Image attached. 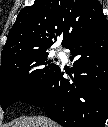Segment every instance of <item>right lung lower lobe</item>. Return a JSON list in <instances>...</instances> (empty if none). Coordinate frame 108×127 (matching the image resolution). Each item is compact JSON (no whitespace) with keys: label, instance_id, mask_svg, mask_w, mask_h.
I'll use <instances>...</instances> for the list:
<instances>
[{"label":"right lung lower lobe","instance_id":"obj_1","mask_svg":"<svg viewBox=\"0 0 108 127\" xmlns=\"http://www.w3.org/2000/svg\"><path fill=\"white\" fill-rule=\"evenodd\" d=\"M66 48L74 78H64L60 67L24 102L44 107L63 127H103L108 115V22L104 17L76 36Z\"/></svg>","mask_w":108,"mask_h":127}]
</instances>
